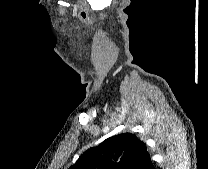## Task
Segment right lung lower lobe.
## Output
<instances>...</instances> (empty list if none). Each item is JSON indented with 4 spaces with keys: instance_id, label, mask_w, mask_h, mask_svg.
Masks as SVG:
<instances>
[{
    "instance_id": "obj_1",
    "label": "right lung lower lobe",
    "mask_w": 208,
    "mask_h": 169,
    "mask_svg": "<svg viewBox=\"0 0 208 169\" xmlns=\"http://www.w3.org/2000/svg\"><path fill=\"white\" fill-rule=\"evenodd\" d=\"M147 169H154L153 163H151L150 166Z\"/></svg>"
}]
</instances>
